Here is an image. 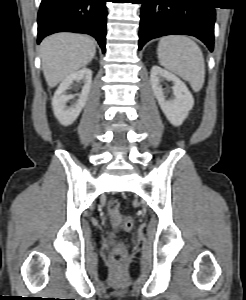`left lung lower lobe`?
I'll return each mask as SVG.
<instances>
[{"label":"left lung lower lobe","mask_w":246,"mask_h":300,"mask_svg":"<svg viewBox=\"0 0 246 300\" xmlns=\"http://www.w3.org/2000/svg\"><path fill=\"white\" fill-rule=\"evenodd\" d=\"M142 4L139 50L151 39L186 34L213 51L215 8L211 0H139Z\"/></svg>","instance_id":"obj_1"}]
</instances>
